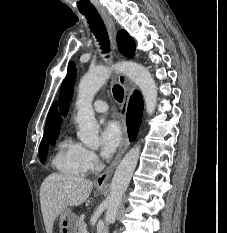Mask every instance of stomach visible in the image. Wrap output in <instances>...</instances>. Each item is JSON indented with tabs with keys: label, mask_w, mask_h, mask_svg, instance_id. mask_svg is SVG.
<instances>
[{
	"label": "stomach",
	"mask_w": 227,
	"mask_h": 233,
	"mask_svg": "<svg viewBox=\"0 0 227 233\" xmlns=\"http://www.w3.org/2000/svg\"><path fill=\"white\" fill-rule=\"evenodd\" d=\"M99 192L103 191V188L97 189ZM60 233H77L78 218L70 210L66 209L61 215L58 216Z\"/></svg>",
	"instance_id": "1"
}]
</instances>
